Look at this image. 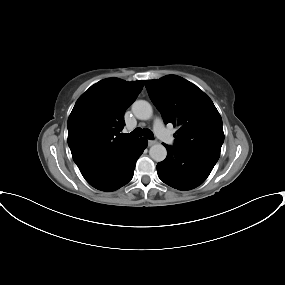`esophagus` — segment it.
<instances>
[{
	"label": "esophagus",
	"mask_w": 285,
	"mask_h": 285,
	"mask_svg": "<svg viewBox=\"0 0 285 285\" xmlns=\"http://www.w3.org/2000/svg\"><path fill=\"white\" fill-rule=\"evenodd\" d=\"M157 143V140H148V145L152 146Z\"/></svg>",
	"instance_id": "obj_1"
}]
</instances>
